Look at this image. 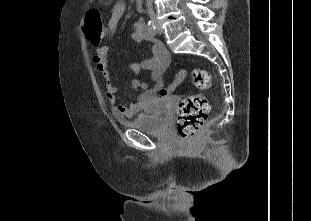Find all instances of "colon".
Returning a JSON list of instances; mask_svg holds the SVG:
<instances>
[{"label": "colon", "mask_w": 311, "mask_h": 221, "mask_svg": "<svg viewBox=\"0 0 311 221\" xmlns=\"http://www.w3.org/2000/svg\"><path fill=\"white\" fill-rule=\"evenodd\" d=\"M100 14V11L96 8H90L86 11L84 37L85 39H89L90 43L95 47L99 46L100 40L103 37L102 31L104 26L99 21ZM185 76L186 72L181 71L176 80L182 81ZM193 80L197 89L208 90L212 87V78L207 70L194 68ZM174 86L175 85L169 86L168 90H171ZM159 92L161 95H166L168 91L166 88H161ZM210 110L211 107L206 96L189 95L180 100L175 127L177 133L181 135V141H192V136L202 127Z\"/></svg>", "instance_id": "obj_1"}]
</instances>
